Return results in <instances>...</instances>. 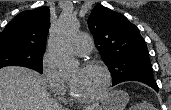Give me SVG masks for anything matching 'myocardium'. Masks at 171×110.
Returning <instances> with one entry per match:
<instances>
[{"mask_svg":"<svg viewBox=\"0 0 171 110\" xmlns=\"http://www.w3.org/2000/svg\"><path fill=\"white\" fill-rule=\"evenodd\" d=\"M81 68L82 69L95 68V69L100 70L104 76V84H103L102 89L96 95H93L90 97L78 96L74 92L72 86L69 84V93H70L71 99L80 104H89V103H93V102H96V101L102 99L107 94V92L111 86V82H112V75H111L109 68L106 65H104L103 63L96 62V61L85 62Z\"/></svg>","mask_w":171,"mask_h":110,"instance_id":"myocardium-1","label":"myocardium"}]
</instances>
